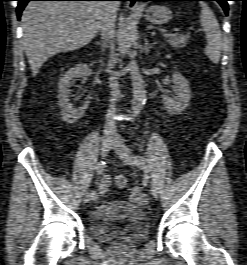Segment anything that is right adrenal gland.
<instances>
[{
  "mask_svg": "<svg viewBox=\"0 0 247 265\" xmlns=\"http://www.w3.org/2000/svg\"><path fill=\"white\" fill-rule=\"evenodd\" d=\"M97 44L100 45L102 50H104L106 48V44L103 41H100Z\"/></svg>",
  "mask_w": 247,
  "mask_h": 265,
  "instance_id": "obj_1",
  "label": "right adrenal gland"
}]
</instances>
